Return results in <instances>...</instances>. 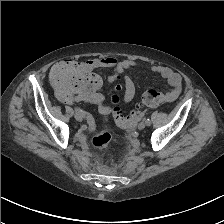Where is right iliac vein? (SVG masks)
Instances as JSON below:
<instances>
[{
    "label": "right iliac vein",
    "instance_id": "obj_1",
    "mask_svg": "<svg viewBox=\"0 0 224 224\" xmlns=\"http://www.w3.org/2000/svg\"><path fill=\"white\" fill-rule=\"evenodd\" d=\"M75 119L79 122H81L83 120V116L79 113H75Z\"/></svg>",
    "mask_w": 224,
    "mask_h": 224
}]
</instances>
